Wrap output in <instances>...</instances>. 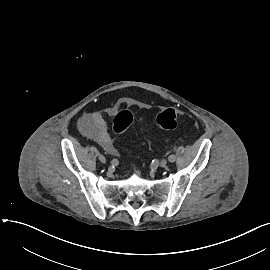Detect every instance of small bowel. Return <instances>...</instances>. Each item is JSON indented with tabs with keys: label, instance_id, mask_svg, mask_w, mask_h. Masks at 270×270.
I'll return each mask as SVG.
<instances>
[{
	"label": "small bowel",
	"instance_id": "1",
	"mask_svg": "<svg viewBox=\"0 0 270 270\" xmlns=\"http://www.w3.org/2000/svg\"><path fill=\"white\" fill-rule=\"evenodd\" d=\"M125 104V101L119 100L117 105L114 107H109L106 110V113L109 116H112L117 106H123ZM80 129L85 137L95 141L105 151L112 152L114 150L111 137L108 133L107 125L99 112L86 113L80 120Z\"/></svg>",
	"mask_w": 270,
	"mask_h": 270
}]
</instances>
